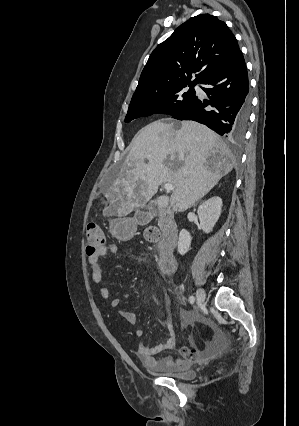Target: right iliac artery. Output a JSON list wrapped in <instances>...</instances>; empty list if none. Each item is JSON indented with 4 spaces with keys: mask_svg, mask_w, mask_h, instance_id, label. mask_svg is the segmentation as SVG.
<instances>
[{
    "mask_svg": "<svg viewBox=\"0 0 299 426\" xmlns=\"http://www.w3.org/2000/svg\"><path fill=\"white\" fill-rule=\"evenodd\" d=\"M194 301H195L194 296H190V297H189V302H190V304H193V303H194Z\"/></svg>",
    "mask_w": 299,
    "mask_h": 426,
    "instance_id": "obj_1",
    "label": "right iliac artery"
}]
</instances>
